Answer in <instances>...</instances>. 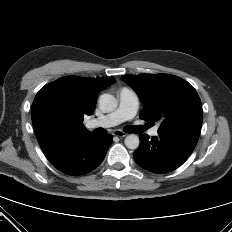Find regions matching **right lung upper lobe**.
Segmentation results:
<instances>
[{"instance_id": "right-lung-upper-lobe-1", "label": "right lung upper lobe", "mask_w": 232, "mask_h": 232, "mask_svg": "<svg viewBox=\"0 0 232 232\" xmlns=\"http://www.w3.org/2000/svg\"><path fill=\"white\" fill-rule=\"evenodd\" d=\"M116 80L112 77L68 76L42 87L32 105V122L41 149L60 139L91 132L83 125L94 111L98 93Z\"/></svg>"}]
</instances>
